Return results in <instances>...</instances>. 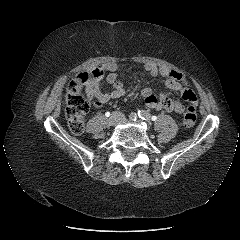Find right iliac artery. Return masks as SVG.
<instances>
[{
	"label": "right iliac artery",
	"instance_id": "1",
	"mask_svg": "<svg viewBox=\"0 0 240 240\" xmlns=\"http://www.w3.org/2000/svg\"><path fill=\"white\" fill-rule=\"evenodd\" d=\"M130 120H137V114L136 113H131L130 116H129Z\"/></svg>",
	"mask_w": 240,
	"mask_h": 240
}]
</instances>
